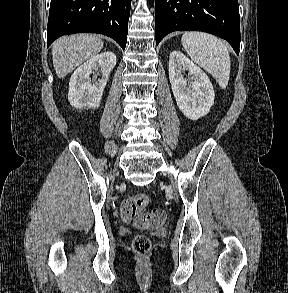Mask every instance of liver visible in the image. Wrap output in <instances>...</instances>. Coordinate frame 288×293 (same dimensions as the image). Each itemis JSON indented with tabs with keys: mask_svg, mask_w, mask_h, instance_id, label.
Returning <instances> with one entry per match:
<instances>
[{
	"mask_svg": "<svg viewBox=\"0 0 288 293\" xmlns=\"http://www.w3.org/2000/svg\"><path fill=\"white\" fill-rule=\"evenodd\" d=\"M103 41L90 34L63 36L52 44V59L59 78L65 77L82 63L96 56Z\"/></svg>",
	"mask_w": 288,
	"mask_h": 293,
	"instance_id": "obj_1",
	"label": "liver"
}]
</instances>
